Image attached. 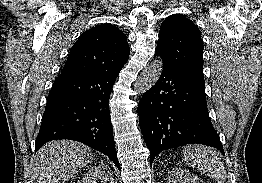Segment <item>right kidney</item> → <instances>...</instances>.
<instances>
[{
  "label": "right kidney",
  "mask_w": 262,
  "mask_h": 183,
  "mask_svg": "<svg viewBox=\"0 0 262 183\" xmlns=\"http://www.w3.org/2000/svg\"><path fill=\"white\" fill-rule=\"evenodd\" d=\"M114 183L113 174L107 164L88 170L78 183Z\"/></svg>",
  "instance_id": "right-kidney-1"
}]
</instances>
